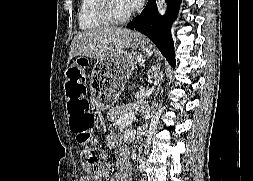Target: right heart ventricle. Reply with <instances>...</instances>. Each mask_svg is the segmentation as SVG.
Wrapping results in <instances>:
<instances>
[{"label":"right heart ventricle","mask_w":253,"mask_h":181,"mask_svg":"<svg viewBox=\"0 0 253 181\" xmlns=\"http://www.w3.org/2000/svg\"><path fill=\"white\" fill-rule=\"evenodd\" d=\"M78 24L82 31H93L107 25L97 13V0H80Z\"/></svg>","instance_id":"1"}]
</instances>
